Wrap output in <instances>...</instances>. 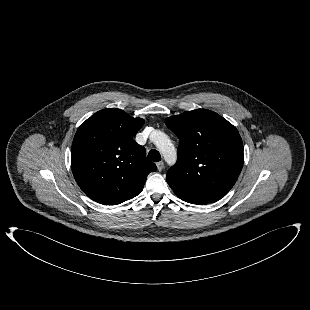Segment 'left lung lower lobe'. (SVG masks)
I'll use <instances>...</instances> for the list:
<instances>
[{
	"instance_id": "left-lung-lower-lobe-1",
	"label": "left lung lower lobe",
	"mask_w": 310,
	"mask_h": 310,
	"mask_svg": "<svg viewBox=\"0 0 310 310\" xmlns=\"http://www.w3.org/2000/svg\"><path fill=\"white\" fill-rule=\"evenodd\" d=\"M179 198H181L182 200H184V201H186L188 203H192V204H198V205L207 204L206 202H203V201H195V200H192V199H187V198H182V197H179Z\"/></svg>"
}]
</instances>
